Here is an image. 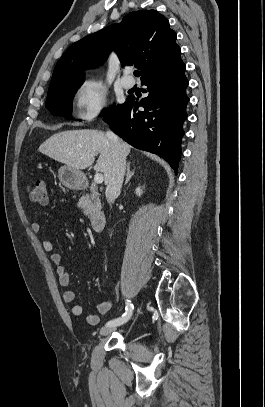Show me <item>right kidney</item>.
<instances>
[{
    "label": "right kidney",
    "mask_w": 265,
    "mask_h": 407,
    "mask_svg": "<svg viewBox=\"0 0 265 407\" xmlns=\"http://www.w3.org/2000/svg\"><path fill=\"white\" fill-rule=\"evenodd\" d=\"M135 192H136V195H137V196H141V194H142V189H141L140 187H138V188H136Z\"/></svg>",
    "instance_id": "obj_1"
}]
</instances>
